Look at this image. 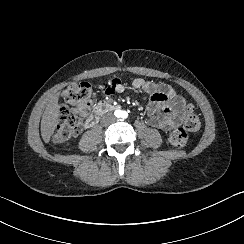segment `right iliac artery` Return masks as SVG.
Segmentation results:
<instances>
[{
	"instance_id": "82829eb1",
	"label": "right iliac artery",
	"mask_w": 244,
	"mask_h": 244,
	"mask_svg": "<svg viewBox=\"0 0 244 244\" xmlns=\"http://www.w3.org/2000/svg\"><path fill=\"white\" fill-rule=\"evenodd\" d=\"M118 112H119V114L118 115H116L117 117H119L120 115H121V112L119 111V110H117Z\"/></svg>"
}]
</instances>
